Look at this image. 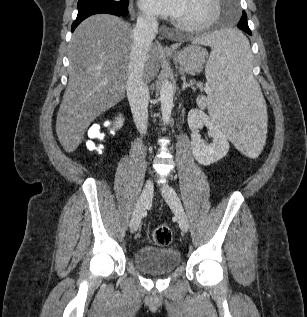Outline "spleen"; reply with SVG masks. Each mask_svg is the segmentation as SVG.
Instances as JSON below:
<instances>
[{"label":"spleen","instance_id":"1","mask_svg":"<svg viewBox=\"0 0 307 317\" xmlns=\"http://www.w3.org/2000/svg\"><path fill=\"white\" fill-rule=\"evenodd\" d=\"M195 43L212 51L205 75L212 92L208 112L233 141L238 155H263L270 128L260 86L250 72V46L242 29H214Z\"/></svg>","mask_w":307,"mask_h":317}]
</instances>
